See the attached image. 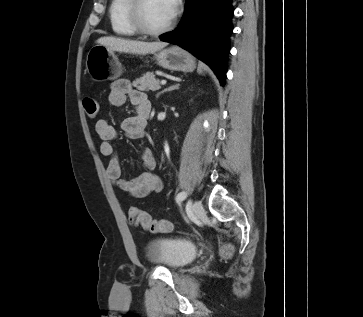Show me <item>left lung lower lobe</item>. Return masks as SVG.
<instances>
[{
	"label": "left lung lower lobe",
	"instance_id": "0a47b994",
	"mask_svg": "<svg viewBox=\"0 0 363 317\" xmlns=\"http://www.w3.org/2000/svg\"><path fill=\"white\" fill-rule=\"evenodd\" d=\"M232 0H186L179 26L159 38L191 52L208 64L224 85L229 37L232 33Z\"/></svg>",
	"mask_w": 363,
	"mask_h": 317
}]
</instances>
